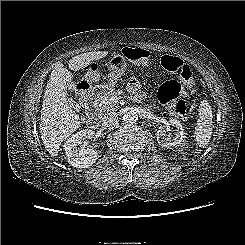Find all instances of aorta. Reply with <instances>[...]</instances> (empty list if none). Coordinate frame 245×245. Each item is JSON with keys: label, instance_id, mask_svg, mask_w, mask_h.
<instances>
[{"label": "aorta", "instance_id": "762f6f07", "mask_svg": "<svg viewBox=\"0 0 245 245\" xmlns=\"http://www.w3.org/2000/svg\"><path fill=\"white\" fill-rule=\"evenodd\" d=\"M124 120L127 123H135L138 120V115L134 111H129L125 114Z\"/></svg>", "mask_w": 245, "mask_h": 245}]
</instances>
